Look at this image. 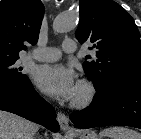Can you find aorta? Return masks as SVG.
<instances>
[{
    "label": "aorta",
    "mask_w": 141,
    "mask_h": 139,
    "mask_svg": "<svg viewBox=\"0 0 141 139\" xmlns=\"http://www.w3.org/2000/svg\"><path fill=\"white\" fill-rule=\"evenodd\" d=\"M77 15L74 13H66L58 16L53 23V30L56 33H65L76 27Z\"/></svg>",
    "instance_id": "1"
}]
</instances>
